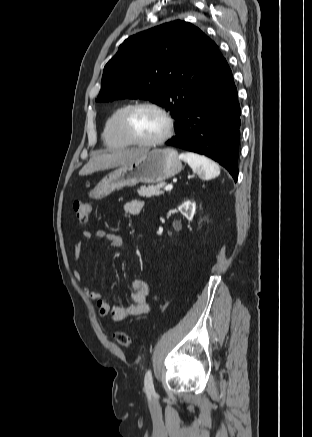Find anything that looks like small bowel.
<instances>
[{
	"label": "small bowel",
	"instance_id": "obj_1",
	"mask_svg": "<svg viewBox=\"0 0 312 437\" xmlns=\"http://www.w3.org/2000/svg\"><path fill=\"white\" fill-rule=\"evenodd\" d=\"M142 208L143 201L139 199L131 200L124 205V211L130 215L139 214ZM84 236L87 239H91L92 237L106 239L110 246L114 248L121 247L123 244V239L120 235L108 232L104 229L97 230L95 233L86 231ZM82 247L83 243L78 241L75 245V252L77 256H79L81 253ZM74 274L76 279L80 281V273L75 270ZM131 286V303L125 305H111L99 291L93 290L89 287H85L84 291L89 299L96 302L100 316L109 317L114 321H122L129 316L142 315L150 311V306L146 301V297L149 294V286L146 280L143 278H135L132 280Z\"/></svg>",
	"mask_w": 312,
	"mask_h": 437
}]
</instances>
